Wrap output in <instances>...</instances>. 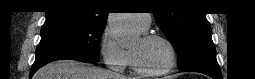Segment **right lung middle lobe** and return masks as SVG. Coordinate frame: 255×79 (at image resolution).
<instances>
[{"label":"right lung middle lobe","mask_w":255,"mask_h":79,"mask_svg":"<svg viewBox=\"0 0 255 79\" xmlns=\"http://www.w3.org/2000/svg\"><path fill=\"white\" fill-rule=\"evenodd\" d=\"M104 27L71 21L45 22L36 59L67 55L96 62L99 60L100 37Z\"/></svg>","instance_id":"dd1d6c3e"}]
</instances>
